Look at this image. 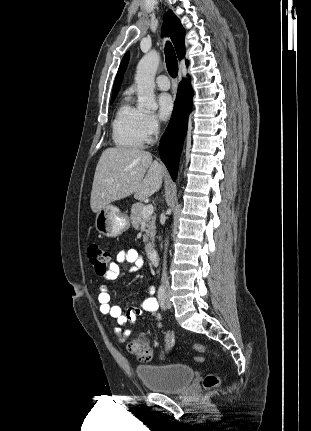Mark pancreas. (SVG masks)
<instances>
[{
	"label": "pancreas",
	"mask_w": 311,
	"mask_h": 431,
	"mask_svg": "<svg viewBox=\"0 0 311 431\" xmlns=\"http://www.w3.org/2000/svg\"><path fill=\"white\" fill-rule=\"evenodd\" d=\"M145 204H133L130 210V219L135 229H140L142 221H146L144 229L145 235L143 237L145 243V251H150L154 247V237L156 233L155 216L143 217L142 210Z\"/></svg>",
	"instance_id": "pancreas-1"
}]
</instances>
